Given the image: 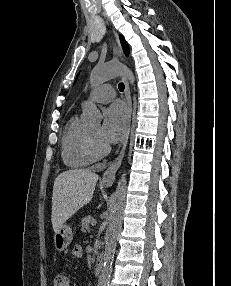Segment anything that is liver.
I'll return each instance as SVG.
<instances>
[{"instance_id":"6515ba94","label":"liver","mask_w":231,"mask_h":286,"mask_svg":"<svg viewBox=\"0 0 231 286\" xmlns=\"http://www.w3.org/2000/svg\"><path fill=\"white\" fill-rule=\"evenodd\" d=\"M98 175L87 169L59 174L53 186L51 222L54 232L93 197Z\"/></svg>"}]
</instances>
